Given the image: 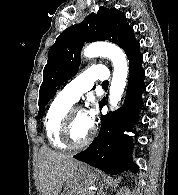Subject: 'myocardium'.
Listing matches in <instances>:
<instances>
[{
    "instance_id": "1",
    "label": "myocardium",
    "mask_w": 178,
    "mask_h": 195,
    "mask_svg": "<svg viewBox=\"0 0 178 195\" xmlns=\"http://www.w3.org/2000/svg\"><path fill=\"white\" fill-rule=\"evenodd\" d=\"M78 111L83 112V110L80 109V108H71L67 112V114H66V116H65V118L63 120L61 129H60V139H61V141L68 148L74 149V150L82 149V148L88 146L92 142V140H93V138L95 136V131H94V129H92L89 137L85 141H83L82 143H78L77 144V143H74L72 141V138H71V127H72L74 116H75L76 112H78Z\"/></svg>"
}]
</instances>
